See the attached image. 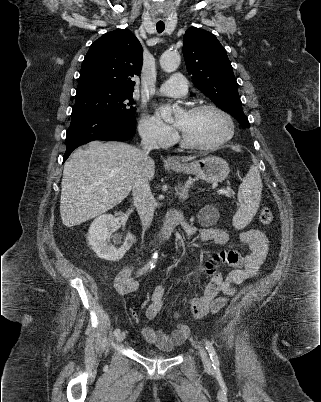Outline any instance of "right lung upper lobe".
Returning a JSON list of instances; mask_svg holds the SVG:
<instances>
[{
    "mask_svg": "<svg viewBox=\"0 0 321 402\" xmlns=\"http://www.w3.org/2000/svg\"><path fill=\"white\" fill-rule=\"evenodd\" d=\"M142 46L128 29H118L102 35L87 52L78 86L101 85L133 92L142 68Z\"/></svg>",
    "mask_w": 321,
    "mask_h": 402,
    "instance_id": "cb5924a9",
    "label": "right lung upper lobe"
}]
</instances>
